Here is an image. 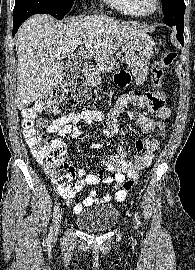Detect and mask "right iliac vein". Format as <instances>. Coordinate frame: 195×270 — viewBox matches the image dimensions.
<instances>
[{"label": "right iliac vein", "instance_id": "63e3f726", "mask_svg": "<svg viewBox=\"0 0 195 270\" xmlns=\"http://www.w3.org/2000/svg\"><path fill=\"white\" fill-rule=\"evenodd\" d=\"M61 220H62V216L60 213H58V215L56 216V219H55V226H54V233H53L54 236H56L58 234Z\"/></svg>", "mask_w": 195, "mask_h": 270}]
</instances>
